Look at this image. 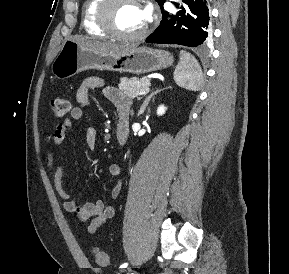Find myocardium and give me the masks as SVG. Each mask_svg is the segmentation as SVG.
Masks as SVG:
<instances>
[{"label": "myocardium", "mask_w": 289, "mask_h": 274, "mask_svg": "<svg viewBox=\"0 0 289 274\" xmlns=\"http://www.w3.org/2000/svg\"><path fill=\"white\" fill-rule=\"evenodd\" d=\"M124 2L140 5L139 0H102L97 10V23L99 27L109 36L122 41H136L146 36L149 31V22L137 33L124 34L119 32L113 24V13L115 8Z\"/></svg>", "instance_id": "myocardium-1"}]
</instances>
